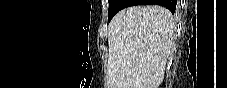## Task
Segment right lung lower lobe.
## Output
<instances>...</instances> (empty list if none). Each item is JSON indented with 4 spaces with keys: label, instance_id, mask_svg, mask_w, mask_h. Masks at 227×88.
Segmentation results:
<instances>
[{
    "label": "right lung lower lobe",
    "instance_id": "1",
    "mask_svg": "<svg viewBox=\"0 0 227 88\" xmlns=\"http://www.w3.org/2000/svg\"><path fill=\"white\" fill-rule=\"evenodd\" d=\"M142 4H157L169 9L172 13L176 10L177 0H129L126 7Z\"/></svg>",
    "mask_w": 227,
    "mask_h": 88
}]
</instances>
